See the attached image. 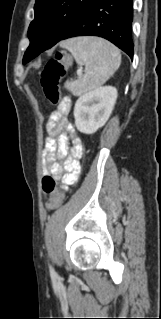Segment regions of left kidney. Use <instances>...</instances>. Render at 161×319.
Here are the masks:
<instances>
[{"label": "left kidney", "mask_w": 161, "mask_h": 319, "mask_svg": "<svg viewBox=\"0 0 161 319\" xmlns=\"http://www.w3.org/2000/svg\"><path fill=\"white\" fill-rule=\"evenodd\" d=\"M117 99V89L112 86L99 87L81 96L74 107L77 129L93 134L105 125Z\"/></svg>", "instance_id": "5707ae66"}]
</instances>
